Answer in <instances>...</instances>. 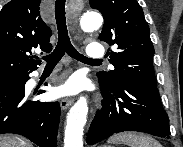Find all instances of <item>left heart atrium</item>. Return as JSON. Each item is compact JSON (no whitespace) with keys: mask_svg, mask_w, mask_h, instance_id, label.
I'll return each mask as SVG.
<instances>
[{"mask_svg":"<svg viewBox=\"0 0 183 147\" xmlns=\"http://www.w3.org/2000/svg\"><path fill=\"white\" fill-rule=\"evenodd\" d=\"M82 89V82L79 78H71L57 89L58 95H73Z\"/></svg>","mask_w":183,"mask_h":147,"instance_id":"obj_1","label":"left heart atrium"}]
</instances>
